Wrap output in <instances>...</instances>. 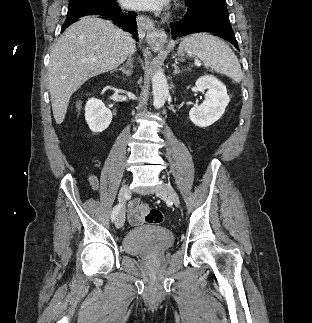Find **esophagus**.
Wrapping results in <instances>:
<instances>
[{
  "label": "esophagus",
  "mask_w": 312,
  "mask_h": 323,
  "mask_svg": "<svg viewBox=\"0 0 312 323\" xmlns=\"http://www.w3.org/2000/svg\"><path fill=\"white\" fill-rule=\"evenodd\" d=\"M137 27L139 36H143L150 47L161 49L167 41V35L163 30H157L153 20L147 15L138 14Z\"/></svg>",
  "instance_id": "esophagus-1"
}]
</instances>
